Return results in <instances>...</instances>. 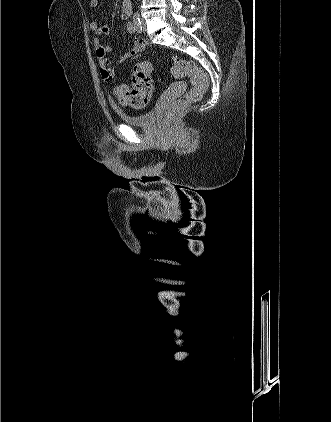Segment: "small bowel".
Listing matches in <instances>:
<instances>
[{
    "mask_svg": "<svg viewBox=\"0 0 331 422\" xmlns=\"http://www.w3.org/2000/svg\"><path fill=\"white\" fill-rule=\"evenodd\" d=\"M91 8L95 9L98 6V0H90ZM132 14V8L129 0H123L121 4V19L126 22L125 29L128 34H134L136 32L134 22L130 20ZM90 30L95 34L93 39V46L95 49V56L98 62L100 74L105 81H112L115 76L113 68V62L109 59L112 47L110 45H104L101 42L100 37L102 35H108L110 32L109 27L106 24L99 23L97 21H91L89 23ZM146 47V41L143 38L136 37L133 40V47L119 55L116 63H122L129 60L138 54L142 53ZM122 103H126L120 99Z\"/></svg>",
    "mask_w": 331,
    "mask_h": 422,
    "instance_id": "1",
    "label": "small bowel"
}]
</instances>
